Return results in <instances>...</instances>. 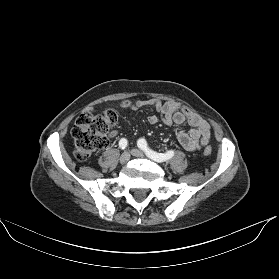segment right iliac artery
I'll list each match as a JSON object with an SVG mask.
<instances>
[{"label": "right iliac artery", "instance_id": "82829eb1", "mask_svg": "<svg viewBox=\"0 0 279 279\" xmlns=\"http://www.w3.org/2000/svg\"><path fill=\"white\" fill-rule=\"evenodd\" d=\"M128 145V141L125 139V138H122L120 141H119V147L121 149H125Z\"/></svg>", "mask_w": 279, "mask_h": 279}]
</instances>
